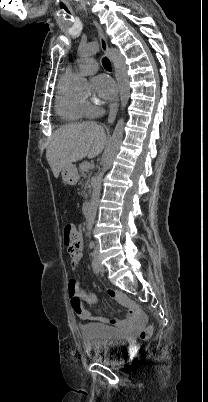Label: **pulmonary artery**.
I'll use <instances>...</instances> for the list:
<instances>
[{"instance_id":"e3ab8cb5","label":"pulmonary artery","mask_w":208,"mask_h":402,"mask_svg":"<svg viewBox=\"0 0 208 402\" xmlns=\"http://www.w3.org/2000/svg\"><path fill=\"white\" fill-rule=\"evenodd\" d=\"M84 53L86 56L92 55V53L88 52L84 49ZM96 63L88 58H79L73 64L67 66L66 72L71 73L73 75L77 74L78 72L82 74H93L97 70Z\"/></svg>"}]
</instances>
